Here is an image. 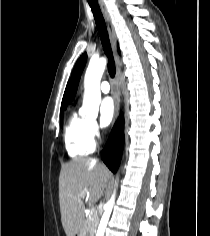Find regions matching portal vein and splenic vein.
Wrapping results in <instances>:
<instances>
[{
  "mask_svg": "<svg viewBox=\"0 0 210 236\" xmlns=\"http://www.w3.org/2000/svg\"><path fill=\"white\" fill-rule=\"evenodd\" d=\"M95 213H96V210H95L94 208H92V209L90 210V216L94 215Z\"/></svg>",
  "mask_w": 210,
  "mask_h": 236,
  "instance_id": "1",
  "label": "portal vein and splenic vein"
}]
</instances>
